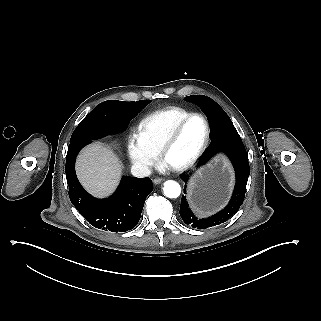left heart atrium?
Returning <instances> with one entry per match:
<instances>
[{
	"instance_id": "1",
	"label": "left heart atrium",
	"mask_w": 321,
	"mask_h": 321,
	"mask_svg": "<svg viewBox=\"0 0 321 321\" xmlns=\"http://www.w3.org/2000/svg\"><path fill=\"white\" fill-rule=\"evenodd\" d=\"M172 166L167 162L165 161L162 165H161V168L163 170H166V169H170Z\"/></svg>"
}]
</instances>
